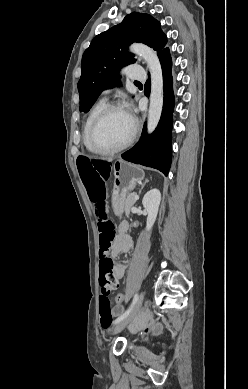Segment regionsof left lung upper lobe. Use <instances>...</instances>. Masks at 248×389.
I'll return each instance as SVG.
<instances>
[{
	"label": "left lung upper lobe",
	"instance_id": "1",
	"mask_svg": "<svg viewBox=\"0 0 248 389\" xmlns=\"http://www.w3.org/2000/svg\"><path fill=\"white\" fill-rule=\"evenodd\" d=\"M133 42L147 44L159 54L165 49L167 37L160 22L138 12L128 14L120 24L94 37L82 56L80 111L88 112L102 90L120 84V68L135 62L127 51Z\"/></svg>",
	"mask_w": 248,
	"mask_h": 389
}]
</instances>
